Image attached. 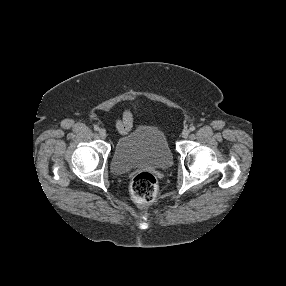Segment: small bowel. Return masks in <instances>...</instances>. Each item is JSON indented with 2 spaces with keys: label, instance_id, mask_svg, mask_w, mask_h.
Listing matches in <instances>:
<instances>
[{
  "label": "small bowel",
  "instance_id": "small-bowel-1",
  "mask_svg": "<svg viewBox=\"0 0 286 286\" xmlns=\"http://www.w3.org/2000/svg\"><path fill=\"white\" fill-rule=\"evenodd\" d=\"M132 123H133L132 113L126 111L117 122L118 130L122 133H125L129 131V129L132 127Z\"/></svg>",
  "mask_w": 286,
  "mask_h": 286
}]
</instances>
